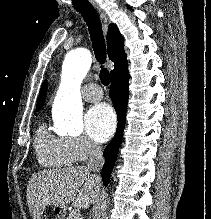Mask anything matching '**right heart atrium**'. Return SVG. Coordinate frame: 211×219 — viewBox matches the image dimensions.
Wrapping results in <instances>:
<instances>
[{
    "mask_svg": "<svg viewBox=\"0 0 211 219\" xmlns=\"http://www.w3.org/2000/svg\"><path fill=\"white\" fill-rule=\"evenodd\" d=\"M64 142L75 162H83L100 151L99 146L86 136L64 137Z\"/></svg>",
    "mask_w": 211,
    "mask_h": 219,
    "instance_id": "d8ad5b80",
    "label": "right heart atrium"
}]
</instances>
